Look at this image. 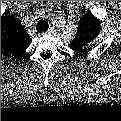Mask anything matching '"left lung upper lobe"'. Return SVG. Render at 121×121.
<instances>
[{
	"label": "left lung upper lobe",
	"mask_w": 121,
	"mask_h": 121,
	"mask_svg": "<svg viewBox=\"0 0 121 121\" xmlns=\"http://www.w3.org/2000/svg\"><path fill=\"white\" fill-rule=\"evenodd\" d=\"M99 19H97L92 13L84 14L79 22L77 36L71 44V48L75 51H81L88 43L95 39L101 29Z\"/></svg>",
	"instance_id": "obj_1"
}]
</instances>
